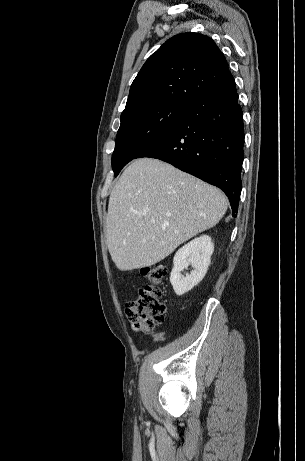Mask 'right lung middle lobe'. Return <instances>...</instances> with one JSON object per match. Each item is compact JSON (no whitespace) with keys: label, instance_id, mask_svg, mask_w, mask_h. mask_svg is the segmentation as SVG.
Masks as SVG:
<instances>
[{"label":"right lung middle lobe","instance_id":"dd1d6c3e","mask_svg":"<svg viewBox=\"0 0 305 461\" xmlns=\"http://www.w3.org/2000/svg\"><path fill=\"white\" fill-rule=\"evenodd\" d=\"M189 104L163 102L121 117L112 156L115 176L131 160L168 134L184 117Z\"/></svg>","mask_w":305,"mask_h":461}]
</instances>
